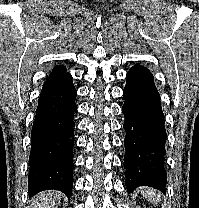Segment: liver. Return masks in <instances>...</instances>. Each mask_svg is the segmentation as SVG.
Returning <instances> with one entry per match:
<instances>
[{"label":"liver","instance_id":"1","mask_svg":"<svg viewBox=\"0 0 199 208\" xmlns=\"http://www.w3.org/2000/svg\"><path fill=\"white\" fill-rule=\"evenodd\" d=\"M61 201V193L57 191H47L37 195L33 201V208H54Z\"/></svg>","mask_w":199,"mask_h":208}]
</instances>
